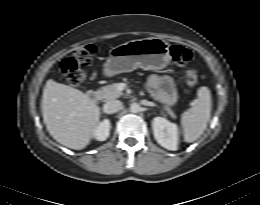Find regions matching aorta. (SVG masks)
Here are the masks:
<instances>
[{"mask_svg":"<svg viewBox=\"0 0 260 205\" xmlns=\"http://www.w3.org/2000/svg\"><path fill=\"white\" fill-rule=\"evenodd\" d=\"M140 109H141V107H140V105L138 103H132L130 105V111L132 113H138V112H140Z\"/></svg>","mask_w":260,"mask_h":205,"instance_id":"762f6f07","label":"aorta"}]
</instances>
